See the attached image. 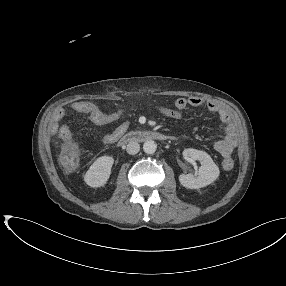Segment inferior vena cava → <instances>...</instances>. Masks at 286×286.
I'll list each match as a JSON object with an SVG mask.
<instances>
[{
    "label": "inferior vena cava",
    "instance_id": "inferior-vena-cava-1",
    "mask_svg": "<svg viewBox=\"0 0 286 286\" xmlns=\"http://www.w3.org/2000/svg\"><path fill=\"white\" fill-rule=\"evenodd\" d=\"M139 150H140V145L138 142L130 141L127 144L126 151L128 154H130V155L137 154L139 152Z\"/></svg>",
    "mask_w": 286,
    "mask_h": 286
}]
</instances>
